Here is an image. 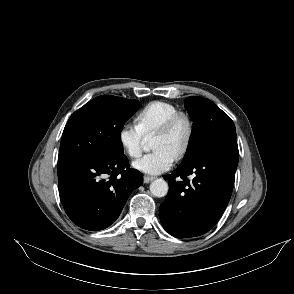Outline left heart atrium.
<instances>
[{
	"instance_id": "left-heart-atrium-1",
	"label": "left heart atrium",
	"mask_w": 294,
	"mask_h": 294,
	"mask_svg": "<svg viewBox=\"0 0 294 294\" xmlns=\"http://www.w3.org/2000/svg\"><path fill=\"white\" fill-rule=\"evenodd\" d=\"M175 160L176 155L174 153L160 148L135 160L133 167L147 174L158 175L168 171L175 163Z\"/></svg>"
}]
</instances>
